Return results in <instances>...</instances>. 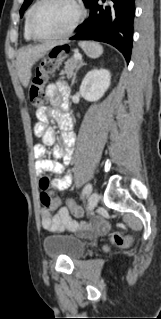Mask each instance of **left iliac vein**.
Instances as JSON below:
<instances>
[{"label":"left iliac vein","instance_id":"obj_1","mask_svg":"<svg viewBox=\"0 0 161 319\" xmlns=\"http://www.w3.org/2000/svg\"><path fill=\"white\" fill-rule=\"evenodd\" d=\"M98 194L96 192H93L90 194L89 198H88V201H87V211L90 212L92 211L97 203H98Z\"/></svg>","mask_w":161,"mask_h":319}]
</instances>
